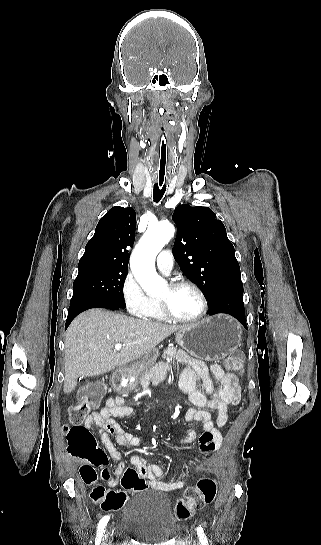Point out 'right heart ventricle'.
Here are the masks:
<instances>
[{"label": "right heart ventricle", "mask_w": 321, "mask_h": 545, "mask_svg": "<svg viewBox=\"0 0 321 545\" xmlns=\"http://www.w3.org/2000/svg\"><path fill=\"white\" fill-rule=\"evenodd\" d=\"M146 320L151 322H162V321H166V318L160 311L158 305L155 304L154 308L151 311L150 316Z\"/></svg>", "instance_id": "right-heart-ventricle-1"}]
</instances>
